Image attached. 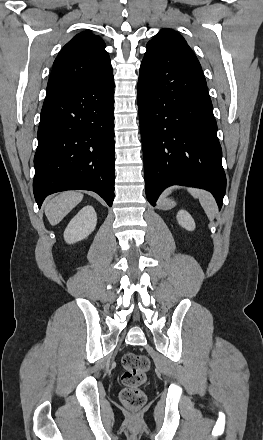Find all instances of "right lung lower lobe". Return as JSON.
Here are the masks:
<instances>
[{
	"label": "right lung lower lobe",
	"instance_id": "98d812e1",
	"mask_svg": "<svg viewBox=\"0 0 263 440\" xmlns=\"http://www.w3.org/2000/svg\"><path fill=\"white\" fill-rule=\"evenodd\" d=\"M39 206L52 193L82 189L114 200L113 73L45 98L34 157Z\"/></svg>",
	"mask_w": 263,
	"mask_h": 440
}]
</instances>
